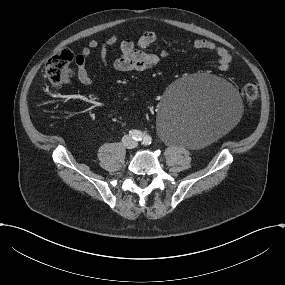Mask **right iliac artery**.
Instances as JSON below:
<instances>
[{"label": "right iliac artery", "instance_id": "82829eb1", "mask_svg": "<svg viewBox=\"0 0 285 285\" xmlns=\"http://www.w3.org/2000/svg\"><path fill=\"white\" fill-rule=\"evenodd\" d=\"M129 134L136 141H141L143 139V134L139 130H131L129 131Z\"/></svg>", "mask_w": 285, "mask_h": 285}]
</instances>
